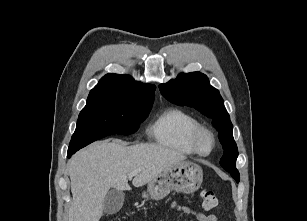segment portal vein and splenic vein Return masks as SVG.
Returning a JSON list of instances; mask_svg holds the SVG:
<instances>
[{"label":"portal vein and splenic vein","instance_id":"obj_1","mask_svg":"<svg viewBox=\"0 0 307 221\" xmlns=\"http://www.w3.org/2000/svg\"><path fill=\"white\" fill-rule=\"evenodd\" d=\"M137 173H138V171H136V172L130 174V175H129V179H131V178H132L134 175H136Z\"/></svg>","mask_w":307,"mask_h":221}]
</instances>
